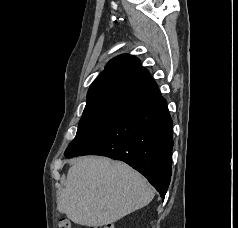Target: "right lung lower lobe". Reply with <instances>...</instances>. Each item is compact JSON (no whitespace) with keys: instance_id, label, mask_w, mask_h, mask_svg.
Listing matches in <instances>:
<instances>
[{"instance_id":"98d812e1","label":"right lung lower lobe","mask_w":238,"mask_h":228,"mask_svg":"<svg viewBox=\"0 0 238 228\" xmlns=\"http://www.w3.org/2000/svg\"><path fill=\"white\" fill-rule=\"evenodd\" d=\"M172 119L159 96L118 117L67 158L102 155L121 160L144 175L162 199L171 179Z\"/></svg>"}]
</instances>
